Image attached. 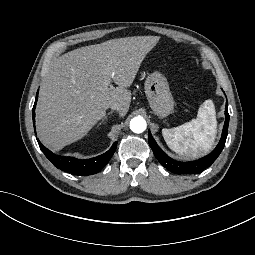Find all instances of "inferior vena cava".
Here are the masks:
<instances>
[{
	"label": "inferior vena cava",
	"mask_w": 255,
	"mask_h": 255,
	"mask_svg": "<svg viewBox=\"0 0 255 255\" xmlns=\"http://www.w3.org/2000/svg\"><path fill=\"white\" fill-rule=\"evenodd\" d=\"M109 107H110L111 110L119 111V109H120V104H118V103H112Z\"/></svg>",
	"instance_id": "inferior-vena-cava-1"
}]
</instances>
